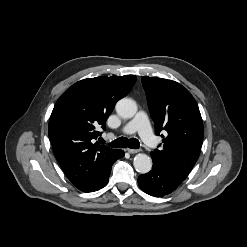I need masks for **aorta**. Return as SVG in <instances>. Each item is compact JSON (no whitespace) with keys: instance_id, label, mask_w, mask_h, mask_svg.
I'll return each instance as SVG.
<instances>
[{"instance_id":"obj_1","label":"aorta","mask_w":247,"mask_h":247,"mask_svg":"<svg viewBox=\"0 0 247 247\" xmlns=\"http://www.w3.org/2000/svg\"><path fill=\"white\" fill-rule=\"evenodd\" d=\"M116 112L122 118H132L137 112V104L130 98H122L116 104ZM134 168L141 174L148 173L152 168V159L143 153H139L133 160Z\"/></svg>"}]
</instances>
